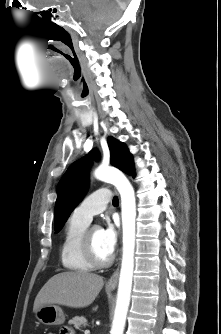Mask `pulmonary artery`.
<instances>
[{
  "label": "pulmonary artery",
  "instance_id": "e3ab8cb5",
  "mask_svg": "<svg viewBox=\"0 0 221 334\" xmlns=\"http://www.w3.org/2000/svg\"><path fill=\"white\" fill-rule=\"evenodd\" d=\"M112 199V193L107 188H100L87 196L73 211V215L90 223L93 216L104 211Z\"/></svg>",
  "mask_w": 221,
  "mask_h": 334
}]
</instances>
